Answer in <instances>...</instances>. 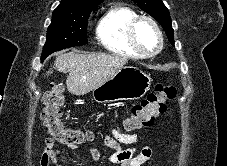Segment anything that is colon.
Listing matches in <instances>:
<instances>
[{"instance_id": "obj_1", "label": "colon", "mask_w": 227, "mask_h": 166, "mask_svg": "<svg viewBox=\"0 0 227 166\" xmlns=\"http://www.w3.org/2000/svg\"><path fill=\"white\" fill-rule=\"evenodd\" d=\"M175 95L176 90L173 86L157 84L151 93L132 107L130 114L122 122V128L132 132L150 127L154 118L166 110L167 102L174 99ZM64 102L62 86L52 85L45 94L42 112V121L47 133L65 146L81 145L93 140V133L70 128L63 124L61 109Z\"/></svg>"}]
</instances>
